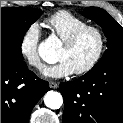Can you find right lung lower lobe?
<instances>
[{"label": "right lung lower lobe", "instance_id": "98d812e1", "mask_svg": "<svg viewBox=\"0 0 123 123\" xmlns=\"http://www.w3.org/2000/svg\"><path fill=\"white\" fill-rule=\"evenodd\" d=\"M47 91L48 82L24 61L1 56V123H28L33 107Z\"/></svg>", "mask_w": 123, "mask_h": 123}]
</instances>
